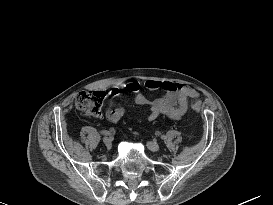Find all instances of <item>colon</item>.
<instances>
[{
    "label": "colon",
    "mask_w": 273,
    "mask_h": 205,
    "mask_svg": "<svg viewBox=\"0 0 273 205\" xmlns=\"http://www.w3.org/2000/svg\"><path fill=\"white\" fill-rule=\"evenodd\" d=\"M105 99V92L90 90L79 91L74 97L75 106L78 111L82 115L91 118L98 117L101 114ZM192 108L195 111H199L201 109V103L199 101H194L192 103Z\"/></svg>",
    "instance_id": "1"
}]
</instances>
